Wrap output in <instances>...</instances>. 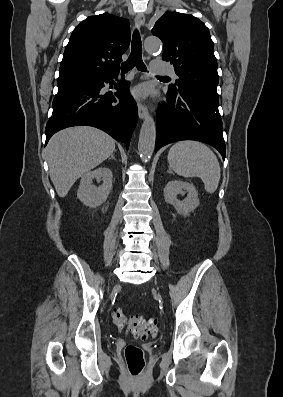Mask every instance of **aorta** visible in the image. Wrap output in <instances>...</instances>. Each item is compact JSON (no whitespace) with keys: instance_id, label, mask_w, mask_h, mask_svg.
I'll use <instances>...</instances> for the list:
<instances>
[{"instance_id":"obj_1","label":"aorta","mask_w":283,"mask_h":397,"mask_svg":"<svg viewBox=\"0 0 283 397\" xmlns=\"http://www.w3.org/2000/svg\"><path fill=\"white\" fill-rule=\"evenodd\" d=\"M162 43L159 39L155 37H149L145 41V49L149 53L157 52L161 50ZM156 139V126L154 119L148 115L141 126L138 151L142 161L147 162L154 151Z\"/></svg>"}]
</instances>
